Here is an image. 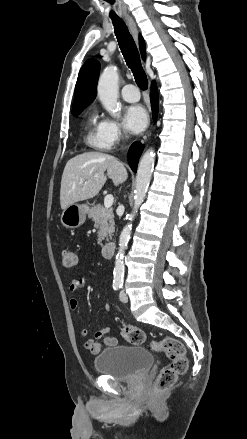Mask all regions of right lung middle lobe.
Here are the masks:
<instances>
[{
	"label": "right lung middle lobe",
	"mask_w": 247,
	"mask_h": 439,
	"mask_svg": "<svg viewBox=\"0 0 247 439\" xmlns=\"http://www.w3.org/2000/svg\"><path fill=\"white\" fill-rule=\"evenodd\" d=\"M82 111H83V109L78 110V111H75V112H72V114H73L74 116H77V115H79Z\"/></svg>",
	"instance_id": "dd1d6c3e"
}]
</instances>
